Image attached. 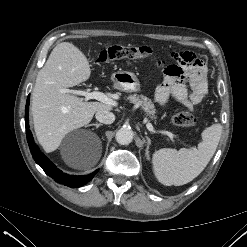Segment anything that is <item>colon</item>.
Returning a JSON list of instances; mask_svg holds the SVG:
<instances>
[{"label": "colon", "instance_id": "colon-1", "mask_svg": "<svg viewBox=\"0 0 247 247\" xmlns=\"http://www.w3.org/2000/svg\"><path fill=\"white\" fill-rule=\"evenodd\" d=\"M153 55V50L148 46H123L114 45L103 50L99 56L101 62L109 60H117L123 58L135 59V58H148ZM174 124L182 127H194L197 123V119L193 113L189 111H179L172 117Z\"/></svg>", "mask_w": 247, "mask_h": 247}]
</instances>
